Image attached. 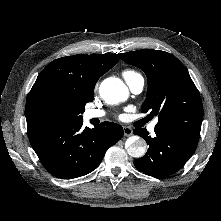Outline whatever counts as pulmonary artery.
<instances>
[{
    "instance_id": "pulmonary-artery-1",
    "label": "pulmonary artery",
    "mask_w": 221,
    "mask_h": 221,
    "mask_svg": "<svg viewBox=\"0 0 221 221\" xmlns=\"http://www.w3.org/2000/svg\"><path fill=\"white\" fill-rule=\"evenodd\" d=\"M126 81L129 85L131 91L134 94H139L142 92V90L144 88L145 81L141 75L138 74L137 76L133 77L132 79L126 80ZM104 115H105L104 111L98 110V109H89L85 112V118L87 120L94 119V118H101ZM155 125H156V122L151 123L148 127L149 131H151V132L154 131Z\"/></svg>"
}]
</instances>
